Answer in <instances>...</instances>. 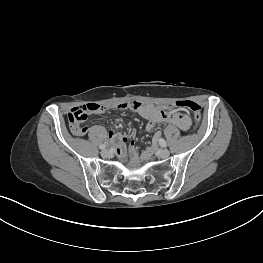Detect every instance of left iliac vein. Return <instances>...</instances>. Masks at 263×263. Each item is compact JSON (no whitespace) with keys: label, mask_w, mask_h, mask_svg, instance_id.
<instances>
[{"label":"left iliac vein","mask_w":263,"mask_h":263,"mask_svg":"<svg viewBox=\"0 0 263 263\" xmlns=\"http://www.w3.org/2000/svg\"><path fill=\"white\" fill-rule=\"evenodd\" d=\"M169 155H170V152L167 149H162L159 151V157L160 158L165 159V158L169 157Z\"/></svg>","instance_id":"obj_1"}]
</instances>
